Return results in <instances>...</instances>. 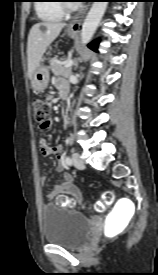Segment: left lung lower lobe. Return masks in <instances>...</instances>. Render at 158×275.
Returning a JSON list of instances; mask_svg holds the SVG:
<instances>
[{"label":"left lung lower lobe","mask_w":158,"mask_h":275,"mask_svg":"<svg viewBox=\"0 0 158 275\" xmlns=\"http://www.w3.org/2000/svg\"><path fill=\"white\" fill-rule=\"evenodd\" d=\"M98 41H94L92 43L89 44V47L94 50V51H97V47H98Z\"/></svg>","instance_id":"obj_1"}]
</instances>
